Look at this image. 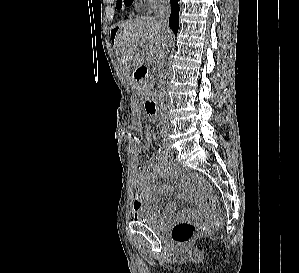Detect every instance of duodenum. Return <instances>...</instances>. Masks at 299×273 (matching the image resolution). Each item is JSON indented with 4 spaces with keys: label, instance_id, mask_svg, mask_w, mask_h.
<instances>
[{
    "label": "duodenum",
    "instance_id": "duodenum-1",
    "mask_svg": "<svg viewBox=\"0 0 299 273\" xmlns=\"http://www.w3.org/2000/svg\"><path fill=\"white\" fill-rule=\"evenodd\" d=\"M150 75V68L148 66H139L135 71H134V80L136 82H141L142 80L148 78ZM145 109L147 113L152 116L156 117L158 115V107H157V102L151 98L147 97L145 99Z\"/></svg>",
    "mask_w": 299,
    "mask_h": 273
}]
</instances>
